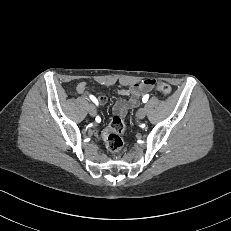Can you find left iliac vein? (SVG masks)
Wrapping results in <instances>:
<instances>
[{
	"instance_id": "left-iliac-vein-1",
	"label": "left iliac vein",
	"mask_w": 231,
	"mask_h": 231,
	"mask_svg": "<svg viewBox=\"0 0 231 231\" xmlns=\"http://www.w3.org/2000/svg\"><path fill=\"white\" fill-rule=\"evenodd\" d=\"M145 116H146V111H145V109H144V108H140V109L138 110V112H137V117H138L139 119H144Z\"/></svg>"
}]
</instances>
